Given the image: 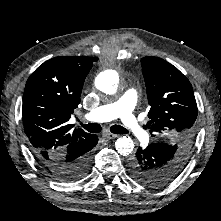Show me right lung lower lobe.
<instances>
[{"label":"right lung lower lobe","mask_w":221,"mask_h":221,"mask_svg":"<svg viewBox=\"0 0 221 221\" xmlns=\"http://www.w3.org/2000/svg\"><path fill=\"white\" fill-rule=\"evenodd\" d=\"M98 137L93 135L84 149H68L64 154L35 155L39 164L60 181H75L84 176L91 165L90 150L96 146Z\"/></svg>","instance_id":"right-lung-lower-lobe-1"}]
</instances>
